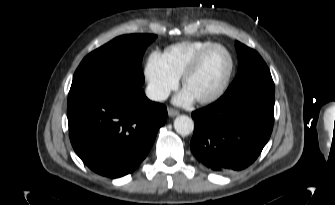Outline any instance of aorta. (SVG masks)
Returning <instances> with one entry per match:
<instances>
[{"label": "aorta", "instance_id": "762f6f07", "mask_svg": "<svg viewBox=\"0 0 335 205\" xmlns=\"http://www.w3.org/2000/svg\"><path fill=\"white\" fill-rule=\"evenodd\" d=\"M174 128L178 134L187 136L193 132L194 122L190 117L180 115L174 120Z\"/></svg>", "mask_w": 335, "mask_h": 205}]
</instances>
